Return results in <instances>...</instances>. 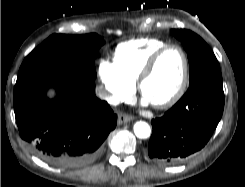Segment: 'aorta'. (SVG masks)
<instances>
[{"label":"aorta","mask_w":245,"mask_h":187,"mask_svg":"<svg viewBox=\"0 0 245 187\" xmlns=\"http://www.w3.org/2000/svg\"><path fill=\"white\" fill-rule=\"evenodd\" d=\"M134 133L140 139H146L151 134L150 126L143 121L136 122L134 124Z\"/></svg>","instance_id":"1"}]
</instances>
